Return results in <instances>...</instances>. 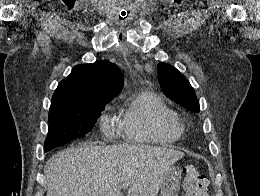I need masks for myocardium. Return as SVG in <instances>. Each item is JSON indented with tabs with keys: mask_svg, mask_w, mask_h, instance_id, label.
I'll use <instances>...</instances> for the list:
<instances>
[{
	"mask_svg": "<svg viewBox=\"0 0 260 196\" xmlns=\"http://www.w3.org/2000/svg\"><path fill=\"white\" fill-rule=\"evenodd\" d=\"M176 123L183 130V125L178 118L176 119Z\"/></svg>",
	"mask_w": 260,
	"mask_h": 196,
	"instance_id": "1",
	"label": "myocardium"
}]
</instances>
